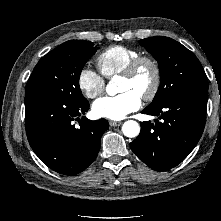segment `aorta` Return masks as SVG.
Masks as SVG:
<instances>
[{
    "instance_id": "762f6f07",
    "label": "aorta",
    "mask_w": 221,
    "mask_h": 221,
    "mask_svg": "<svg viewBox=\"0 0 221 221\" xmlns=\"http://www.w3.org/2000/svg\"><path fill=\"white\" fill-rule=\"evenodd\" d=\"M117 87L114 83V80L110 81L106 87V92L109 95H115L117 93ZM122 132L126 137L134 138L140 133V125L134 120H128L124 122L122 126Z\"/></svg>"
}]
</instances>
